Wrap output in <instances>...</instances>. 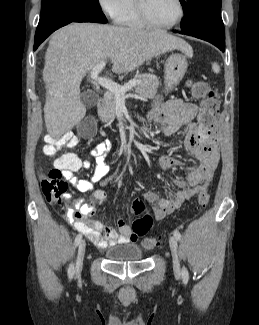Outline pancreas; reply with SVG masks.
Returning a JSON list of instances; mask_svg holds the SVG:
<instances>
[{"mask_svg": "<svg viewBox=\"0 0 259 325\" xmlns=\"http://www.w3.org/2000/svg\"><path fill=\"white\" fill-rule=\"evenodd\" d=\"M135 80H141V83L135 87V92L143 98H153L159 87V80L151 74L140 75ZM130 94L126 95L129 96ZM117 97L111 91L104 95L103 105L98 109V116L103 123L111 122L116 116Z\"/></svg>", "mask_w": 259, "mask_h": 325, "instance_id": "cf45deb5", "label": "pancreas"}]
</instances>
